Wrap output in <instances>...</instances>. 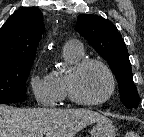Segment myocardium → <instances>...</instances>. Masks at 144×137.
<instances>
[{
  "label": "myocardium",
  "instance_id": "f54148a6",
  "mask_svg": "<svg viewBox=\"0 0 144 137\" xmlns=\"http://www.w3.org/2000/svg\"><path fill=\"white\" fill-rule=\"evenodd\" d=\"M90 64H95V65L100 66L106 72L110 81V89L108 93L105 95V97L96 101H88V100L82 99L77 94L76 88H75V78L77 74ZM66 88H67L69 99L75 104L86 106V107H95V106H100L102 104H105L113 97L116 91V79H115V75L113 71L102 60H99L96 58H82L79 61H77L75 64H73L68 70L67 75H66Z\"/></svg>",
  "mask_w": 144,
  "mask_h": 137
}]
</instances>
